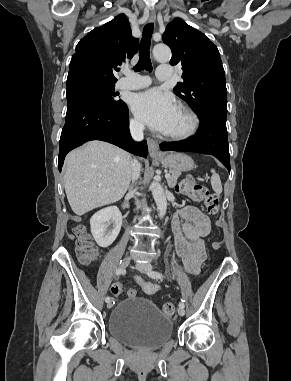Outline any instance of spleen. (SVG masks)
Instances as JSON below:
<instances>
[{"instance_id": "spleen-1", "label": "spleen", "mask_w": 291, "mask_h": 381, "mask_svg": "<svg viewBox=\"0 0 291 381\" xmlns=\"http://www.w3.org/2000/svg\"><path fill=\"white\" fill-rule=\"evenodd\" d=\"M212 176H211V186L212 189L215 191L216 194H221L222 193V184L219 175L212 170Z\"/></svg>"}]
</instances>
